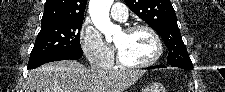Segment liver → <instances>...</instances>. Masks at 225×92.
Listing matches in <instances>:
<instances>
[{"label": "liver", "mask_w": 225, "mask_h": 92, "mask_svg": "<svg viewBox=\"0 0 225 92\" xmlns=\"http://www.w3.org/2000/svg\"><path fill=\"white\" fill-rule=\"evenodd\" d=\"M145 73L142 70H92L77 61L47 63L31 70L25 92H124Z\"/></svg>", "instance_id": "1"}]
</instances>
